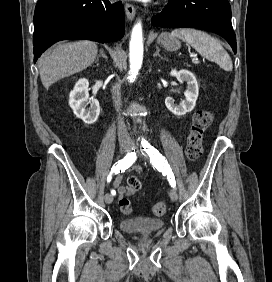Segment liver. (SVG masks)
<instances>
[{"label": "liver", "instance_id": "obj_1", "mask_svg": "<svg viewBox=\"0 0 272 282\" xmlns=\"http://www.w3.org/2000/svg\"><path fill=\"white\" fill-rule=\"evenodd\" d=\"M97 52V45L92 41L56 45L38 61L43 86L49 89L58 80L84 70L94 62Z\"/></svg>", "mask_w": 272, "mask_h": 282}]
</instances>
